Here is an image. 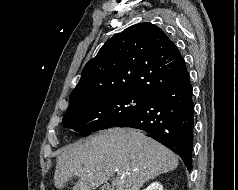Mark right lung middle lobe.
<instances>
[{
	"label": "right lung middle lobe",
	"mask_w": 238,
	"mask_h": 190,
	"mask_svg": "<svg viewBox=\"0 0 238 190\" xmlns=\"http://www.w3.org/2000/svg\"><path fill=\"white\" fill-rule=\"evenodd\" d=\"M149 100V97L132 93L84 98L67 109L63 125L87 136L92 132L110 128L133 115L144 108Z\"/></svg>",
	"instance_id": "right-lung-middle-lobe-1"
}]
</instances>
